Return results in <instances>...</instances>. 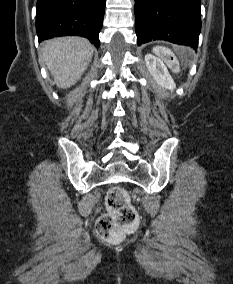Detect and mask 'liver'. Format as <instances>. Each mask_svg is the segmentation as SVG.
Segmentation results:
<instances>
[{
  "instance_id": "obj_1",
  "label": "liver",
  "mask_w": 233,
  "mask_h": 284,
  "mask_svg": "<svg viewBox=\"0 0 233 284\" xmlns=\"http://www.w3.org/2000/svg\"><path fill=\"white\" fill-rule=\"evenodd\" d=\"M41 52L57 86L66 89L87 70L94 47L82 37H59L45 41Z\"/></svg>"
}]
</instances>
